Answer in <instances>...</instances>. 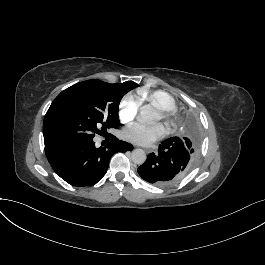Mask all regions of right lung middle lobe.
<instances>
[{"instance_id": "dd1d6c3e", "label": "right lung middle lobe", "mask_w": 265, "mask_h": 265, "mask_svg": "<svg viewBox=\"0 0 265 265\" xmlns=\"http://www.w3.org/2000/svg\"><path fill=\"white\" fill-rule=\"evenodd\" d=\"M138 85L101 80L76 83L52 102L43 124L45 148L70 140L93 139L95 133L119 126L121 98Z\"/></svg>"}]
</instances>
